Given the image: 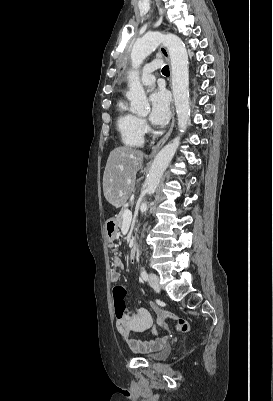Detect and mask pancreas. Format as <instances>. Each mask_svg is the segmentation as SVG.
<instances>
[{
    "instance_id": "1",
    "label": "pancreas",
    "mask_w": 273,
    "mask_h": 401,
    "mask_svg": "<svg viewBox=\"0 0 273 401\" xmlns=\"http://www.w3.org/2000/svg\"><path fill=\"white\" fill-rule=\"evenodd\" d=\"M128 207H124V209H122V211H120L119 215H117L116 217V223L119 227V229H122L123 227V215H124V211H127Z\"/></svg>"
}]
</instances>
